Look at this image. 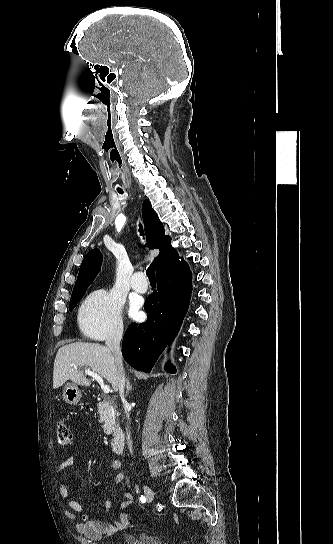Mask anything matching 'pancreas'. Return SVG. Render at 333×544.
<instances>
[{
  "mask_svg": "<svg viewBox=\"0 0 333 544\" xmlns=\"http://www.w3.org/2000/svg\"><path fill=\"white\" fill-rule=\"evenodd\" d=\"M97 406L100 422L103 423L104 433L109 435L117 428L116 417L118 416V412L116 407L106 401L98 403Z\"/></svg>",
  "mask_w": 333,
  "mask_h": 544,
  "instance_id": "cf45deb5",
  "label": "pancreas"
}]
</instances>
